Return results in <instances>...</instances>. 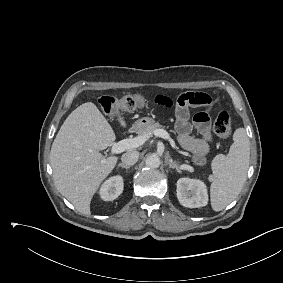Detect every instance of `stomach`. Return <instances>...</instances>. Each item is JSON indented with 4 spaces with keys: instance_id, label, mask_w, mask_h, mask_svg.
Returning a JSON list of instances; mask_svg holds the SVG:
<instances>
[{
    "instance_id": "obj_1",
    "label": "stomach",
    "mask_w": 283,
    "mask_h": 283,
    "mask_svg": "<svg viewBox=\"0 0 283 283\" xmlns=\"http://www.w3.org/2000/svg\"><path fill=\"white\" fill-rule=\"evenodd\" d=\"M154 122H155L154 119L150 117H143L135 121L132 128L135 132L141 133L144 130H146L149 126H151Z\"/></svg>"
}]
</instances>
